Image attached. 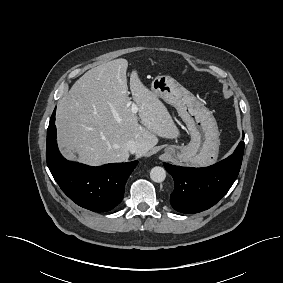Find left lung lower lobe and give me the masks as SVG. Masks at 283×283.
Wrapping results in <instances>:
<instances>
[{"label":"left lung lower lobe","mask_w":283,"mask_h":283,"mask_svg":"<svg viewBox=\"0 0 283 283\" xmlns=\"http://www.w3.org/2000/svg\"><path fill=\"white\" fill-rule=\"evenodd\" d=\"M243 152L244 142L241 141L231 156L209 167L189 168L164 163L175 183L170 196L172 207L181 213L192 214L215 205L236 180Z\"/></svg>","instance_id":"0a47b994"}]
</instances>
